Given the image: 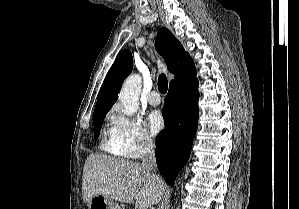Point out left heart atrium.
Listing matches in <instances>:
<instances>
[{
  "label": "left heart atrium",
  "instance_id": "obj_1",
  "mask_svg": "<svg viewBox=\"0 0 299 209\" xmlns=\"http://www.w3.org/2000/svg\"><path fill=\"white\" fill-rule=\"evenodd\" d=\"M148 126L150 132L155 135L159 133L165 125V120L163 115L159 111H153L148 115L147 118Z\"/></svg>",
  "mask_w": 299,
  "mask_h": 209
}]
</instances>
